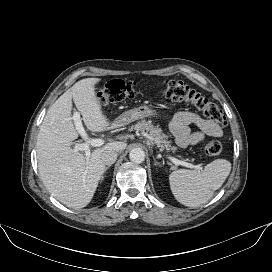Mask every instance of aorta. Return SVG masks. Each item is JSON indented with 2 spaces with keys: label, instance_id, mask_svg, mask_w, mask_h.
Here are the masks:
<instances>
[{
  "label": "aorta",
  "instance_id": "1",
  "mask_svg": "<svg viewBox=\"0 0 272 272\" xmlns=\"http://www.w3.org/2000/svg\"><path fill=\"white\" fill-rule=\"evenodd\" d=\"M129 158L134 163H142L145 160V152L141 148H133L129 153Z\"/></svg>",
  "mask_w": 272,
  "mask_h": 272
}]
</instances>
